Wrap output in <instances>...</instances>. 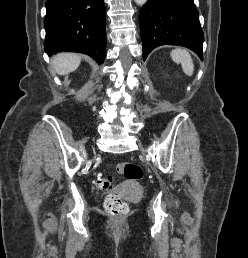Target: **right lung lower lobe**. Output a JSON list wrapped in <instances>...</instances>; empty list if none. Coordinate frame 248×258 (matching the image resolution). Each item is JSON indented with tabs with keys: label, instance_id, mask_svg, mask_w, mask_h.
<instances>
[{
	"label": "right lung lower lobe",
	"instance_id": "98d812e1",
	"mask_svg": "<svg viewBox=\"0 0 248 258\" xmlns=\"http://www.w3.org/2000/svg\"><path fill=\"white\" fill-rule=\"evenodd\" d=\"M44 48L87 54L99 64L106 51V11L103 0H47Z\"/></svg>",
	"mask_w": 248,
	"mask_h": 258
}]
</instances>
